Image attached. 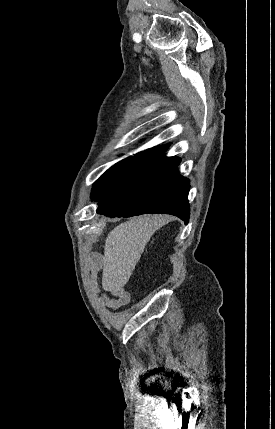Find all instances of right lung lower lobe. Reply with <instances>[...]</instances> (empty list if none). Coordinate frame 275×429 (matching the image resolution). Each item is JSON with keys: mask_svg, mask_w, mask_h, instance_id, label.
<instances>
[{"mask_svg": "<svg viewBox=\"0 0 275 429\" xmlns=\"http://www.w3.org/2000/svg\"><path fill=\"white\" fill-rule=\"evenodd\" d=\"M178 157L159 155L145 163L136 176L111 196L98 202L97 213L131 217L166 213L189 219V180L177 173Z\"/></svg>", "mask_w": 275, "mask_h": 429, "instance_id": "obj_1", "label": "right lung lower lobe"}]
</instances>
